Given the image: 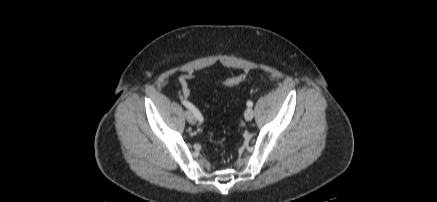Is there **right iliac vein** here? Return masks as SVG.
<instances>
[{"label":"right iliac vein","mask_w":437,"mask_h":202,"mask_svg":"<svg viewBox=\"0 0 437 202\" xmlns=\"http://www.w3.org/2000/svg\"><path fill=\"white\" fill-rule=\"evenodd\" d=\"M185 116H186L187 121L190 124H192V125L196 124V122H197L196 117H195L194 113L191 110H187L185 112Z\"/></svg>","instance_id":"right-iliac-vein-1"}]
</instances>
